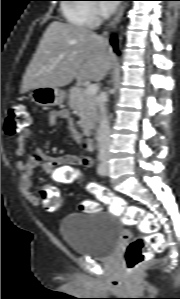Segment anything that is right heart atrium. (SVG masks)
Segmentation results:
<instances>
[{
	"mask_svg": "<svg viewBox=\"0 0 180 299\" xmlns=\"http://www.w3.org/2000/svg\"><path fill=\"white\" fill-rule=\"evenodd\" d=\"M94 14L97 13V9L92 7Z\"/></svg>",
	"mask_w": 180,
	"mask_h": 299,
	"instance_id": "1",
	"label": "right heart atrium"
}]
</instances>
